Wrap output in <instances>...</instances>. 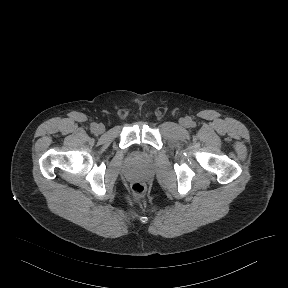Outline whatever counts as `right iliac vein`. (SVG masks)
<instances>
[{
    "instance_id": "1",
    "label": "right iliac vein",
    "mask_w": 288,
    "mask_h": 288,
    "mask_svg": "<svg viewBox=\"0 0 288 288\" xmlns=\"http://www.w3.org/2000/svg\"><path fill=\"white\" fill-rule=\"evenodd\" d=\"M96 130L98 133H103L105 131V127L103 124H98Z\"/></svg>"
}]
</instances>
